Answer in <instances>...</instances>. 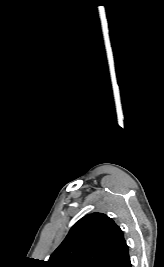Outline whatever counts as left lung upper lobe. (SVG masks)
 <instances>
[{"instance_id":"left-lung-upper-lobe-1","label":"left lung upper lobe","mask_w":164,"mask_h":267,"mask_svg":"<svg viewBox=\"0 0 164 267\" xmlns=\"http://www.w3.org/2000/svg\"><path fill=\"white\" fill-rule=\"evenodd\" d=\"M123 232L102 213L80 219L46 262L47 267H104L123 243Z\"/></svg>"}]
</instances>
